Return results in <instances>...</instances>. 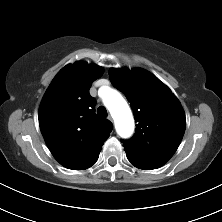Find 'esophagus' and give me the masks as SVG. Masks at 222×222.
<instances>
[{
    "mask_svg": "<svg viewBox=\"0 0 222 222\" xmlns=\"http://www.w3.org/2000/svg\"><path fill=\"white\" fill-rule=\"evenodd\" d=\"M107 119L110 120L111 122H113V119L110 115L107 117Z\"/></svg>",
    "mask_w": 222,
    "mask_h": 222,
    "instance_id": "1",
    "label": "esophagus"
}]
</instances>
